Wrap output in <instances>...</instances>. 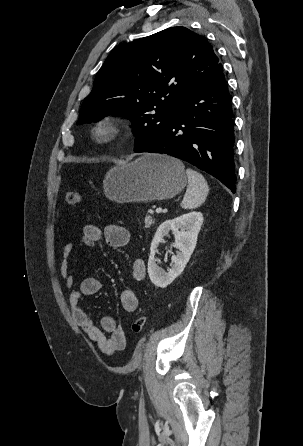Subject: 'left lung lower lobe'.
Here are the masks:
<instances>
[{
    "label": "left lung lower lobe",
    "instance_id": "0a47b994",
    "mask_svg": "<svg viewBox=\"0 0 303 446\" xmlns=\"http://www.w3.org/2000/svg\"><path fill=\"white\" fill-rule=\"evenodd\" d=\"M135 152L187 161L235 193L233 115L220 63L176 106L161 134Z\"/></svg>",
    "mask_w": 303,
    "mask_h": 446
}]
</instances>
